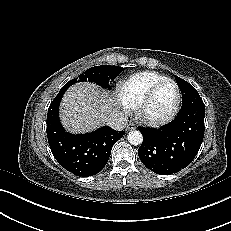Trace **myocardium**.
<instances>
[{
    "label": "myocardium",
    "instance_id": "f54148a6",
    "mask_svg": "<svg viewBox=\"0 0 231 231\" xmlns=\"http://www.w3.org/2000/svg\"><path fill=\"white\" fill-rule=\"evenodd\" d=\"M166 83H170L173 84L175 87V91H176V97H175V102L173 104V106L171 107V109L163 116H159V117H152L149 116L146 113V108L148 106V103L150 101V99L152 98V96L154 95V93L163 85ZM180 102H181V91L180 88L177 84L176 81H174L173 79L170 78H165L161 81H159L158 83H156L155 85H153L147 92L146 94L142 97L141 101L139 102V104L136 107V111L135 114L137 116V118L144 124L148 125V126H160V125H164L166 123H168L169 121H171L174 116L176 115L179 106H180Z\"/></svg>",
    "mask_w": 231,
    "mask_h": 231
}]
</instances>
